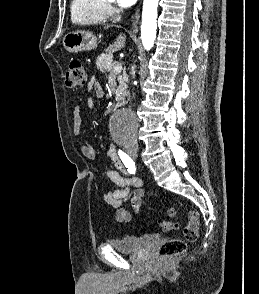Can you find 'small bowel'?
<instances>
[{"mask_svg": "<svg viewBox=\"0 0 259 294\" xmlns=\"http://www.w3.org/2000/svg\"><path fill=\"white\" fill-rule=\"evenodd\" d=\"M88 89L93 90L98 98L104 96L103 88L95 80L89 83ZM87 104L92 108L94 106V100L89 98ZM84 130L85 126L82 120L81 109L79 106H76L73 110V132L76 135H80ZM80 150L82 155L89 160H94L97 157L94 147L89 143L83 144ZM106 154L113 161L115 169L106 170L105 175L117 186V189L105 192L103 194V200L107 205L116 209L113 216L117 222H129L132 219L133 213H138L142 205L144 197V190L142 189L143 182L140 178L129 175V171L120 158L118 150L109 147L106 150ZM126 200L130 201L133 212L121 207L122 203Z\"/></svg>", "mask_w": 259, "mask_h": 294, "instance_id": "obj_1", "label": "small bowel"}]
</instances>
